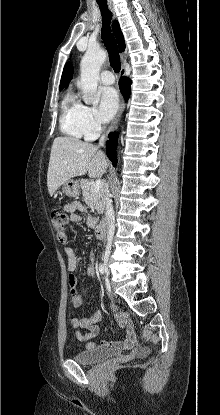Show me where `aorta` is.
<instances>
[{"instance_id": "1", "label": "aorta", "mask_w": 220, "mask_h": 415, "mask_svg": "<svg viewBox=\"0 0 220 415\" xmlns=\"http://www.w3.org/2000/svg\"><path fill=\"white\" fill-rule=\"evenodd\" d=\"M106 52L98 49H88L84 54L80 69V87L83 92V100L86 104H98L99 95L97 94V85L100 68L106 60Z\"/></svg>"}]
</instances>
